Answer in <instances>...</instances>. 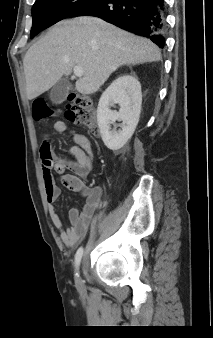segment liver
Instances as JSON below:
<instances>
[{
  "label": "liver",
  "instance_id": "obj_1",
  "mask_svg": "<svg viewBox=\"0 0 213 338\" xmlns=\"http://www.w3.org/2000/svg\"><path fill=\"white\" fill-rule=\"evenodd\" d=\"M161 60L160 49L150 40L135 36L96 17L64 20L32 45L23 59L29 100L53 87L74 67L84 75L75 90L90 95L123 65Z\"/></svg>",
  "mask_w": 213,
  "mask_h": 338
}]
</instances>
